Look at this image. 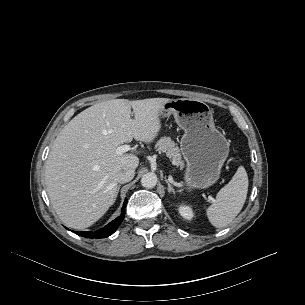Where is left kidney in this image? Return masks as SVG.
<instances>
[{"mask_svg": "<svg viewBox=\"0 0 305 305\" xmlns=\"http://www.w3.org/2000/svg\"><path fill=\"white\" fill-rule=\"evenodd\" d=\"M178 211L180 215L187 220H191L194 216L192 208L187 205H179Z\"/></svg>", "mask_w": 305, "mask_h": 305, "instance_id": "5707ae66", "label": "left kidney"}]
</instances>
